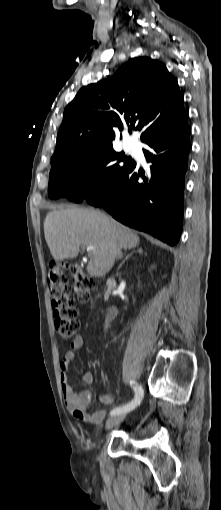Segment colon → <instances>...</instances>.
<instances>
[{
	"label": "colon",
	"mask_w": 221,
	"mask_h": 510,
	"mask_svg": "<svg viewBox=\"0 0 221 510\" xmlns=\"http://www.w3.org/2000/svg\"><path fill=\"white\" fill-rule=\"evenodd\" d=\"M68 276L74 281V291L82 302L89 300L94 281L85 274L79 263H52L48 279L56 331L64 341L72 339L80 327L75 299L71 295ZM102 401V399H101Z\"/></svg>",
	"instance_id": "colon-1"
}]
</instances>
